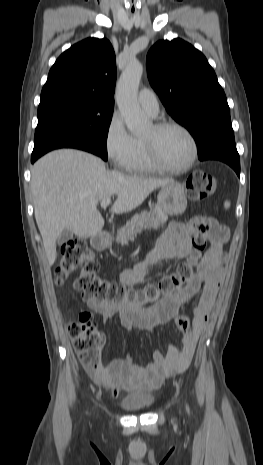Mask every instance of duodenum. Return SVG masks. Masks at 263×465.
Masks as SVG:
<instances>
[{
    "label": "duodenum",
    "instance_id": "duodenum-1",
    "mask_svg": "<svg viewBox=\"0 0 263 465\" xmlns=\"http://www.w3.org/2000/svg\"><path fill=\"white\" fill-rule=\"evenodd\" d=\"M109 238L105 234L97 235L92 240V245L96 250H103L107 247Z\"/></svg>",
    "mask_w": 263,
    "mask_h": 465
}]
</instances>
